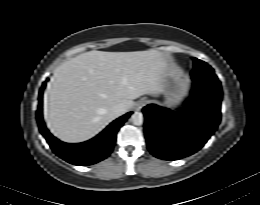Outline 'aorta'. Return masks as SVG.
<instances>
[{"label": "aorta", "mask_w": 260, "mask_h": 205, "mask_svg": "<svg viewBox=\"0 0 260 205\" xmlns=\"http://www.w3.org/2000/svg\"><path fill=\"white\" fill-rule=\"evenodd\" d=\"M130 120L134 125L140 126L143 124V114L141 112H134Z\"/></svg>", "instance_id": "1"}]
</instances>
